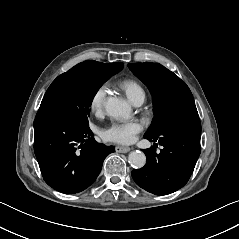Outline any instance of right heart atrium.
<instances>
[{
    "instance_id": "right-heart-atrium-1",
    "label": "right heart atrium",
    "mask_w": 239,
    "mask_h": 239,
    "mask_svg": "<svg viewBox=\"0 0 239 239\" xmlns=\"http://www.w3.org/2000/svg\"><path fill=\"white\" fill-rule=\"evenodd\" d=\"M109 92L107 84L99 85L91 94L89 100L90 111L94 114H98L104 110L106 96Z\"/></svg>"
}]
</instances>
